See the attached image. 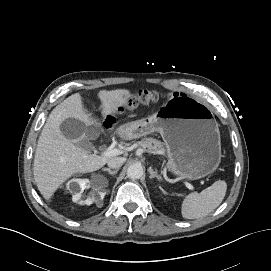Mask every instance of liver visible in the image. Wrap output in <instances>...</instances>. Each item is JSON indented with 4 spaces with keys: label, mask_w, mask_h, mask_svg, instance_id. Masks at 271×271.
I'll return each instance as SVG.
<instances>
[{
    "label": "liver",
    "mask_w": 271,
    "mask_h": 271,
    "mask_svg": "<svg viewBox=\"0 0 271 271\" xmlns=\"http://www.w3.org/2000/svg\"><path fill=\"white\" fill-rule=\"evenodd\" d=\"M130 96L128 90L100 91L98 98L103 118L117 112L119 106L126 105ZM67 118L87 125L94 122L84 109L79 94L71 95L51 112L39 137L33 164L36 185L46 200L72 175L97 171L114 157L90 154L79 147L76 143L84 140L83 136L75 141L65 138L60 125Z\"/></svg>",
    "instance_id": "6515ba94"
}]
</instances>
